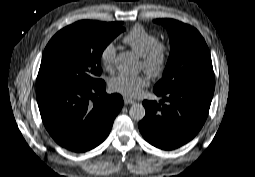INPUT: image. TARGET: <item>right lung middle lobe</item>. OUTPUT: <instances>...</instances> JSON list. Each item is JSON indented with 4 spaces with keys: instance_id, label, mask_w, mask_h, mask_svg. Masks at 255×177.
Instances as JSON below:
<instances>
[{
    "instance_id": "obj_1",
    "label": "right lung middle lobe",
    "mask_w": 255,
    "mask_h": 177,
    "mask_svg": "<svg viewBox=\"0 0 255 177\" xmlns=\"http://www.w3.org/2000/svg\"><path fill=\"white\" fill-rule=\"evenodd\" d=\"M122 22L79 21L69 25L47 44L36 87L51 84L92 87L101 79L100 59L106 46L122 31Z\"/></svg>"
}]
</instances>
